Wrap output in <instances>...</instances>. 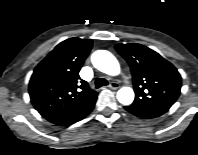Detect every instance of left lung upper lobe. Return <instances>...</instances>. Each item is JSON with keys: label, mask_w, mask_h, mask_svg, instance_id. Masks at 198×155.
Returning <instances> with one entry per match:
<instances>
[{"label": "left lung upper lobe", "mask_w": 198, "mask_h": 155, "mask_svg": "<svg viewBox=\"0 0 198 155\" xmlns=\"http://www.w3.org/2000/svg\"><path fill=\"white\" fill-rule=\"evenodd\" d=\"M115 48L131 67L136 94L132 105L168 110L180 94L181 76L177 69L141 44H117Z\"/></svg>", "instance_id": "obj_1"}]
</instances>
